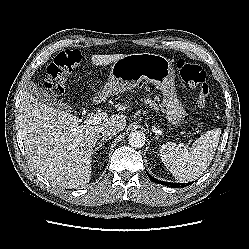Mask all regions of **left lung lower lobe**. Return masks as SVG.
Instances as JSON below:
<instances>
[{"instance_id": "0a47b994", "label": "left lung lower lobe", "mask_w": 249, "mask_h": 249, "mask_svg": "<svg viewBox=\"0 0 249 249\" xmlns=\"http://www.w3.org/2000/svg\"><path fill=\"white\" fill-rule=\"evenodd\" d=\"M148 174V173H147ZM149 178L154 181L155 183H158V184H162V185H165V186H168V187H171V188H182V187H185L187 185H189V183H172V182H163V181H159L155 178H153L152 176H150L148 174ZM191 184V183H190Z\"/></svg>"}]
</instances>
